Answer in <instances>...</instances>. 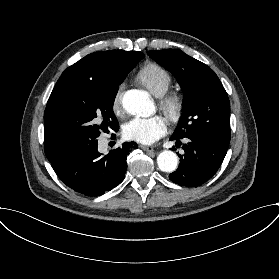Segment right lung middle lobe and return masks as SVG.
Returning a JSON list of instances; mask_svg holds the SVG:
<instances>
[{
    "label": "right lung middle lobe",
    "instance_id": "1",
    "mask_svg": "<svg viewBox=\"0 0 279 279\" xmlns=\"http://www.w3.org/2000/svg\"><path fill=\"white\" fill-rule=\"evenodd\" d=\"M138 63L101 79H66L57 82L44 113V144L49 161L96 141L101 131H117L113 114L118 86Z\"/></svg>",
    "mask_w": 279,
    "mask_h": 279
}]
</instances>
